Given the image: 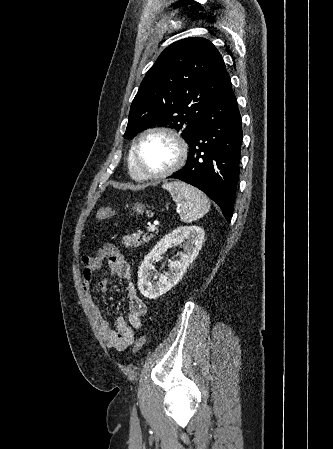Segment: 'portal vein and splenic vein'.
<instances>
[{"mask_svg": "<svg viewBox=\"0 0 333 449\" xmlns=\"http://www.w3.org/2000/svg\"><path fill=\"white\" fill-rule=\"evenodd\" d=\"M148 230H149V231H155V230H156V226H155V225H150V226L148 227Z\"/></svg>", "mask_w": 333, "mask_h": 449, "instance_id": "1", "label": "portal vein and splenic vein"}]
</instances>
